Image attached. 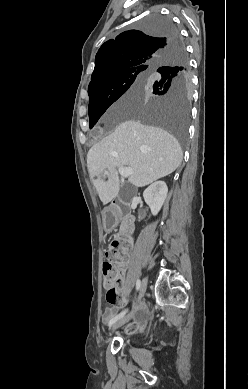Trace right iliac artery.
<instances>
[{
    "instance_id": "1",
    "label": "right iliac artery",
    "mask_w": 248,
    "mask_h": 389,
    "mask_svg": "<svg viewBox=\"0 0 248 389\" xmlns=\"http://www.w3.org/2000/svg\"><path fill=\"white\" fill-rule=\"evenodd\" d=\"M140 285H141V282L140 280L138 279L137 282H136V290L138 291L140 289ZM127 313V309L122 311L120 314H118L117 316H115L110 322H109V325H112L114 324L118 319L122 318L125 314Z\"/></svg>"
}]
</instances>
